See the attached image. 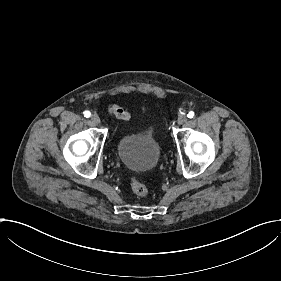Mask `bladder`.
Segmentation results:
<instances>
[{
    "mask_svg": "<svg viewBox=\"0 0 281 281\" xmlns=\"http://www.w3.org/2000/svg\"><path fill=\"white\" fill-rule=\"evenodd\" d=\"M120 160L130 168L146 170L153 167L159 158V145L151 130L127 134L117 145Z\"/></svg>",
    "mask_w": 281,
    "mask_h": 281,
    "instance_id": "bladder-1",
    "label": "bladder"
}]
</instances>
